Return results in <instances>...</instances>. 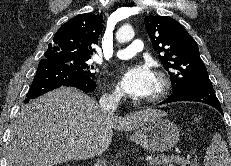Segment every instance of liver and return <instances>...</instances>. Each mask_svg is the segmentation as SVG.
Returning <instances> with one entry per match:
<instances>
[{"label":"liver","instance_id":"liver-1","mask_svg":"<svg viewBox=\"0 0 231 166\" xmlns=\"http://www.w3.org/2000/svg\"><path fill=\"white\" fill-rule=\"evenodd\" d=\"M166 113L144 109L118 117L71 87L48 92L25 105L11 124L7 166H54L104 153L112 130L131 131Z\"/></svg>","mask_w":231,"mask_h":166}]
</instances>
